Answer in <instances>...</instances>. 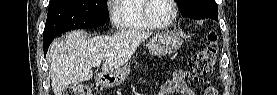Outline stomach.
<instances>
[{
    "mask_svg": "<svg viewBox=\"0 0 277 95\" xmlns=\"http://www.w3.org/2000/svg\"><path fill=\"white\" fill-rule=\"evenodd\" d=\"M182 40L175 32H162L152 36L148 42L149 50L152 54L165 56L174 53L180 48ZM130 68L126 64L113 72L106 73L101 78V83L107 87H115L123 83Z\"/></svg>",
    "mask_w": 277,
    "mask_h": 95,
    "instance_id": "stomach-1",
    "label": "stomach"
}]
</instances>
